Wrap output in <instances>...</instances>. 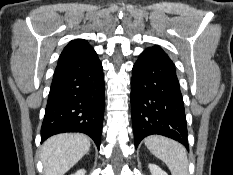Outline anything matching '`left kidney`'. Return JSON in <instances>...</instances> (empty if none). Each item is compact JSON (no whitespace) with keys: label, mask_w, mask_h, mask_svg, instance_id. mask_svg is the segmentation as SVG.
Instances as JSON below:
<instances>
[{"label":"left kidney","mask_w":233,"mask_h":175,"mask_svg":"<svg viewBox=\"0 0 233 175\" xmlns=\"http://www.w3.org/2000/svg\"><path fill=\"white\" fill-rule=\"evenodd\" d=\"M152 175H168L164 170L155 164L148 165Z\"/></svg>","instance_id":"5707ae66"}]
</instances>
